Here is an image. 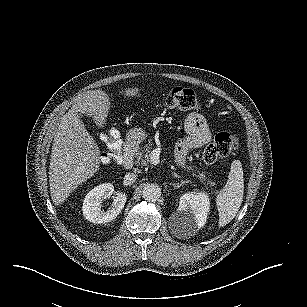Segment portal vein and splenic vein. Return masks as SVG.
<instances>
[{"mask_svg": "<svg viewBox=\"0 0 307 307\" xmlns=\"http://www.w3.org/2000/svg\"><path fill=\"white\" fill-rule=\"evenodd\" d=\"M150 157H151L152 161L156 162L160 157V150L158 148L153 149L150 152Z\"/></svg>", "mask_w": 307, "mask_h": 307, "instance_id": "1", "label": "portal vein and splenic vein"}]
</instances>
